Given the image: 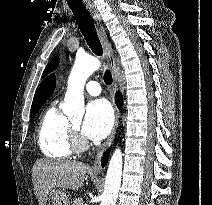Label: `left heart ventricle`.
<instances>
[{"label":"left heart ventricle","mask_w":212,"mask_h":205,"mask_svg":"<svg viewBox=\"0 0 212 205\" xmlns=\"http://www.w3.org/2000/svg\"><path fill=\"white\" fill-rule=\"evenodd\" d=\"M73 124H74V126H76L77 128H79L80 122H79V121H76V122H74Z\"/></svg>","instance_id":"b2bd125f"}]
</instances>
